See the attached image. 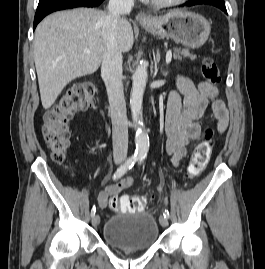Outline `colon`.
I'll use <instances>...</instances> for the list:
<instances>
[{
    "instance_id": "obj_1",
    "label": "colon",
    "mask_w": 265,
    "mask_h": 269,
    "mask_svg": "<svg viewBox=\"0 0 265 269\" xmlns=\"http://www.w3.org/2000/svg\"><path fill=\"white\" fill-rule=\"evenodd\" d=\"M204 79L212 86H217L221 81L219 68L212 57H205L201 65ZM96 88L91 83L73 87L63 94L58 102L44 115L42 133L45 143L51 151L54 162L63 164L67 161L69 148V120L78 111L91 107ZM213 131L207 128L203 139L197 144L187 169L190 179L198 177L206 167L212 152ZM146 203L143 196L124 195L111 201L113 209L122 213L141 211Z\"/></svg>"
}]
</instances>
